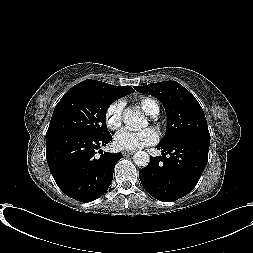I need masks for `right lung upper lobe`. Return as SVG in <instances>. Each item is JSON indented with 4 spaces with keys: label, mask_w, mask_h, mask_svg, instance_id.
Listing matches in <instances>:
<instances>
[{
    "label": "right lung upper lobe",
    "mask_w": 253,
    "mask_h": 253,
    "mask_svg": "<svg viewBox=\"0 0 253 253\" xmlns=\"http://www.w3.org/2000/svg\"><path fill=\"white\" fill-rule=\"evenodd\" d=\"M76 86H82V87H90V88H95V89H100V90H108V91H113V92H118L121 94H124L125 96L133 93L134 89L130 86H113L108 83H104L101 81H96V80H84L80 83H78Z\"/></svg>",
    "instance_id": "right-lung-upper-lobe-1"
}]
</instances>
